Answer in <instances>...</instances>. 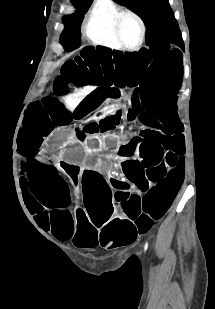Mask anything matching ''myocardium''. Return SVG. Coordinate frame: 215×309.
<instances>
[{
  "label": "myocardium",
  "instance_id": "obj_1",
  "mask_svg": "<svg viewBox=\"0 0 215 309\" xmlns=\"http://www.w3.org/2000/svg\"><path fill=\"white\" fill-rule=\"evenodd\" d=\"M113 13H114V18H115L114 25H113L115 28L113 29V31H115L116 33L115 37H117L118 39V42H117L118 47L119 48H140L145 38V26L141 18L130 10H116V11H113ZM123 17L131 18L138 27V33H139L138 41L132 46H124L125 42H123V38L121 37L120 30L123 29V24L121 23V19Z\"/></svg>",
  "mask_w": 215,
  "mask_h": 309
}]
</instances>
